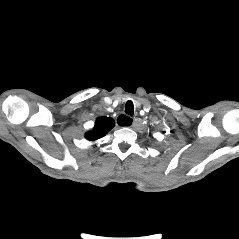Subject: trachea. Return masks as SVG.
<instances>
[{
    "label": "trachea",
    "instance_id": "1",
    "mask_svg": "<svg viewBox=\"0 0 239 239\" xmlns=\"http://www.w3.org/2000/svg\"><path fill=\"white\" fill-rule=\"evenodd\" d=\"M125 113L128 114L129 116H133L134 114V105L132 101H127L126 106H125Z\"/></svg>",
    "mask_w": 239,
    "mask_h": 239
}]
</instances>
